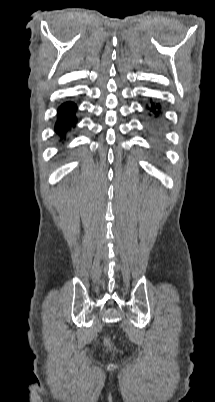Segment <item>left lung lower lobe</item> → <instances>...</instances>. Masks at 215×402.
Segmentation results:
<instances>
[{
	"mask_svg": "<svg viewBox=\"0 0 215 402\" xmlns=\"http://www.w3.org/2000/svg\"><path fill=\"white\" fill-rule=\"evenodd\" d=\"M147 109H148L149 112H150L149 115L152 114L153 117H155V118H157V117L159 116V110H158V109H160V105H159V104H154V103H152V105L149 106Z\"/></svg>",
	"mask_w": 215,
	"mask_h": 402,
	"instance_id": "obj_1",
	"label": "left lung lower lobe"
}]
</instances>
